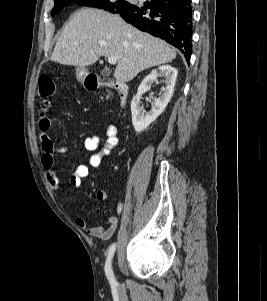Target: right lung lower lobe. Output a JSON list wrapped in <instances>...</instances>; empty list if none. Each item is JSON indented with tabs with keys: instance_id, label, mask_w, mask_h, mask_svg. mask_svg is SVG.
<instances>
[{
	"instance_id": "98d812e1",
	"label": "right lung lower lobe",
	"mask_w": 267,
	"mask_h": 301,
	"mask_svg": "<svg viewBox=\"0 0 267 301\" xmlns=\"http://www.w3.org/2000/svg\"><path fill=\"white\" fill-rule=\"evenodd\" d=\"M138 29L164 39L184 53L189 62L192 44L191 0H147L118 13Z\"/></svg>"
}]
</instances>
